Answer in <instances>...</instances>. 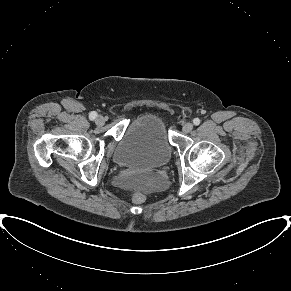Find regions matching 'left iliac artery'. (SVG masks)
Returning <instances> with one entry per match:
<instances>
[{
    "label": "left iliac artery",
    "mask_w": 291,
    "mask_h": 291,
    "mask_svg": "<svg viewBox=\"0 0 291 291\" xmlns=\"http://www.w3.org/2000/svg\"><path fill=\"white\" fill-rule=\"evenodd\" d=\"M193 124L194 125H199L200 124V119L199 118H195V119H193Z\"/></svg>",
    "instance_id": "1"
}]
</instances>
